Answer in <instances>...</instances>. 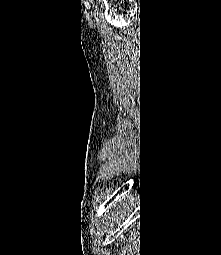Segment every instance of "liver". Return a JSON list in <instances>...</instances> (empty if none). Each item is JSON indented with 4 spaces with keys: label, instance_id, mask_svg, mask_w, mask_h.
I'll use <instances>...</instances> for the list:
<instances>
[{
    "label": "liver",
    "instance_id": "6515ba94",
    "mask_svg": "<svg viewBox=\"0 0 221 255\" xmlns=\"http://www.w3.org/2000/svg\"><path fill=\"white\" fill-rule=\"evenodd\" d=\"M131 210V206L130 205H122L120 208H119V214L121 216H124L126 215L127 212H129Z\"/></svg>",
    "mask_w": 221,
    "mask_h": 255
}]
</instances>
